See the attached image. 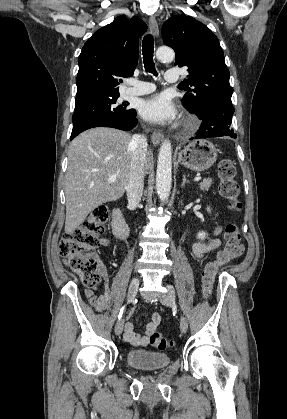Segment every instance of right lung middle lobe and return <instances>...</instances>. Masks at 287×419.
<instances>
[{"label":"right lung middle lobe","instance_id":"dd1d6c3e","mask_svg":"<svg viewBox=\"0 0 287 419\" xmlns=\"http://www.w3.org/2000/svg\"><path fill=\"white\" fill-rule=\"evenodd\" d=\"M119 95L98 100L81 107H75L72 117L73 129L82 123L99 117L127 118L133 115L134 109L128 107V103H119Z\"/></svg>","mask_w":287,"mask_h":419}]
</instances>
